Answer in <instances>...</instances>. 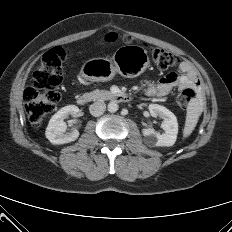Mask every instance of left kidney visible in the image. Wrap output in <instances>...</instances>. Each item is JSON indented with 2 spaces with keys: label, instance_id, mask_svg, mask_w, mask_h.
<instances>
[{
  "label": "left kidney",
  "instance_id": "5707ae66",
  "mask_svg": "<svg viewBox=\"0 0 232 232\" xmlns=\"http://www.w3.org/2000/svg\"><path fill=\"white\" fill-rule=\"evenodd\" d=\"M149 111L151 116L163 119L161 124L164 133L156 132L153 128L142 129L146 137V143L149 146H172L174 145L178 134V122L176 116L166 107L158 104H150Z\"/></svg>",
  "mask_w": 232,
  "mask_h": 232
}]
</instances>
